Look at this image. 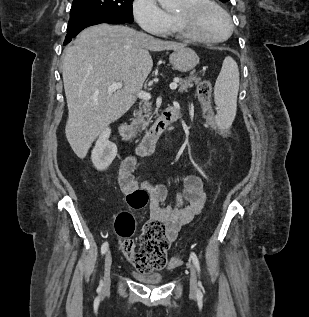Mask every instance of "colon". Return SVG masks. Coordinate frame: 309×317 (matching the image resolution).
<instances>
[{
    "mask_svg": "<svg viewBox=\"0 0 309 317\" xmlns=\"http://www.w3.org/2000/svg\"><path fill=\"white\" fill-rule=\"evenodd\" d=\"M198 97L202 111L208 124L213 126V111L210 103L211 83L203 80L198 85ZM148 194L143 189L135 190L127 195V204L131 209L139 210L148 203ZM115 231L121 239V249L128 261L141 273L161 270L167 266V251L170 241L165 225L155 219L148 220L143 226L138 243L132 240L135 231V221L128 212L120 213L115 221ZM180 263L179 258L170 261L171 266Z\"/></svg>",
    "mask_w": 309,
    "mask_h": 317,
    "instance_id": "5ec220e1",
    "label": "colon"
}]
</instances>
